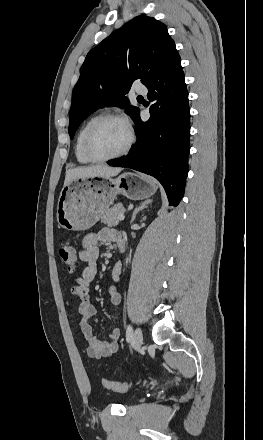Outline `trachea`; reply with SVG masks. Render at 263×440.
Returning a JSON list of instances; mask_svg holds the SVG:
<instances>
[{"label":"trachea","instance_id":"3493384b","mask_svg":"<svg viewBox=\"0 0 263 440\" xmlns=\"http://www.w3.org/2000/svg\"><path fill=\"white\" fill-rule=\"evenodd\" d=\"M138 98H142V96H138Z\"/></svg>","mask_w":263,"mask_h":440}]
</instances>
